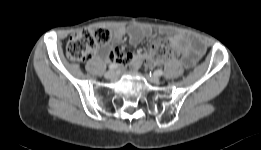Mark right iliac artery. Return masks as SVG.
Wrapping results in <instances>:
<instances>
[{
	"mask_svg": "<svg viewBox=\"0 0 261 150\" xmlns=\"http://www.w3.org/2000/svg\"><path fill=\"white\" fill-rule=\"evenodd\" d=\"M117 67H118V65L115 64V63H112V64L109 65V69H110V70H114V69H116Z\"/></svg>",
	"mask_w": 261,
	"mask_h": 150,
	"instance_id": "82829eb1",
	"label": "right iliac artery"
}]
</instances>
